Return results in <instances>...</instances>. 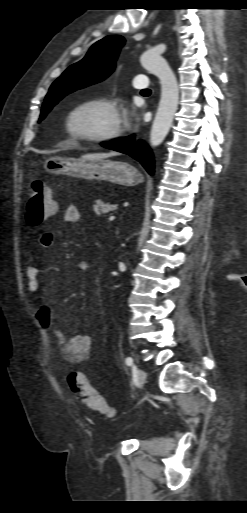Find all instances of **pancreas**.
Returning <instances> with one entry per match:
<instances>
[{
  "label": "pancreas",
  "mask_w": 247,
  "mask_h": 513,
  "mask_svg": "<svg viewBox=\"0 0 247 513\" xmlns=\"http://www.w3.org/2000/svg\"><path fill=\"white\" fill-rule=\"evenodd\" d=\"M93 207L97 216H105V214L115 211L117 209V204H111L110 202L104 203L102 201H99Z\"/></svg>",
  "instance_id": "1"
}]
</instances>
